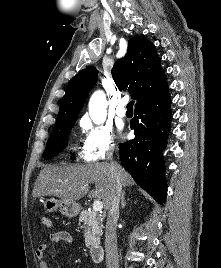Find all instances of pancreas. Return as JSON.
<instances>
[{
  "instance_id": "obj_1",
  "label": "pancreas",
  "mask_w": 221,
  "mask_h": 268,
  "mask_svg": "<svg viewBox=\"0 0 221 268\" xmlns=\"http://www.w3.org/2000/svg\"><path fill=\"white\" fill-rule=\"evenodd\" d=\"M79 221L84 222V238L86 247L90 248L100 242L102 235V221L95 211L83 210Z\"/></svg>"
}]
</instances>
